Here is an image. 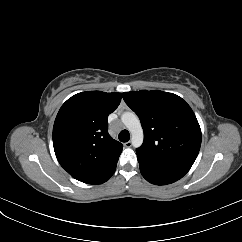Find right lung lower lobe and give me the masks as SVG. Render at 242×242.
Segmentation results:
<instances>
[{"mask_svg":"<svg viewBox=\"0 0 242 242\" xmlns=\"http://www.w3.org/2000/svg\"><path fill=\"white\" fill-rule=\"evenodd\" d=\"M118 159L111 162L108 166L103 168L94 178L85 182L88 184H101L106 182L115 172Z\"/></svg>","mask_w":242,"mask_h":242,"instance_id":"98d812e1","label":"right lung lower lobe"}]
</instances>
